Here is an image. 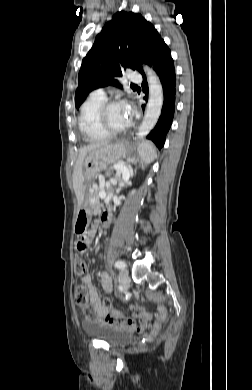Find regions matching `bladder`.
Returning a JSON list of instances; mask_svg holds the SVG:
<instances>
[{"label":"bladder","mask_w":252,"mask_h":390,"mask_svg":"<svg viewBox=\"0 0 252 390\" xmlns=\"http://www.w3.org/2000/svg\"><path fill=\"white\" fill-rule=\"evenodd\" d=\"M84 329L90 336L114 347L126 345L133 339L128 331L98 322H86Z\"/></svg>","instance_id":"1"}]
</instances>
